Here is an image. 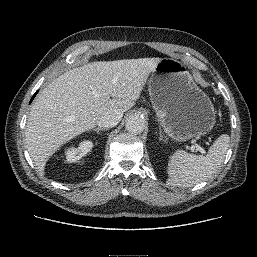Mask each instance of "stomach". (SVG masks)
Returning <instances> with one entry per match:
<instances>
[{
  "label": "stomach",
  "instance_id": "obj_1",
  "mask_svg": "<svg viewBox=\"0 0 257 257\" xmlns=\"http://www.w3.org/2000/svg\"><path fill=\"white\" fill-rule=\"evenodd\" d=\"M149 94L158 121L173 140L184 142L213 129L214 106L181 61H159L149 79Z\"/></svg>",
  "mask_w": 257,
  "mask_h": 257
}]
</instances>
